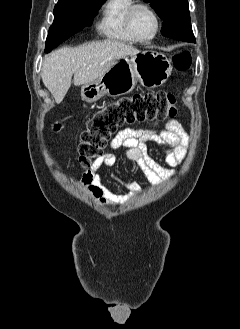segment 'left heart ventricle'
I'll list each match as a JSON object with an SVG mask.
<instances>
[{
  "label": "left heart ventricle",
  "instance_id": "obj_1",
  "mask_svg": "<svg viewBox=\"0 0 240 329\" xmlns=\"http://www.w3.org/2000/svg\"><path fill=\"white\" fill-rule=\"evenodd\" d=\"M133 28L138 36L149 37L155 30V20L147 9H139L133 18Z\"/></svg>",
  "mask_w": 240,
  "mask_h": 329
}]
</instances>
